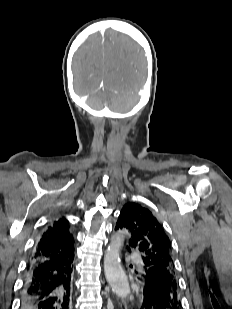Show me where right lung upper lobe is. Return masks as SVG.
I'll return each mask as SVG.
<instances>
[{
  "label": "right lung upper lobe",
  "mask_w": 232,
  "mask_h": 309,
  "mask_svg": "<svg viewBox=\"0 0 232 309\" xmlns=\"http://www.w3.org/2000/svg\"><path fill=\"white\" fill-rule=\"evenodd\" d=\"M73 253L74 238L68 220L62 217L43 232L31 259L40 262L56 257L67 258Z\"/></svg>",
  "instance_id": "obj_1"
}]
</instances>
